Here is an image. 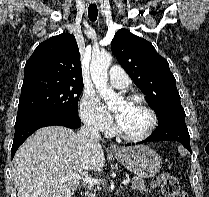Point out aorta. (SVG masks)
I'll list each match as a JSON object with an SVG mask.
<instances>
[{
	"mask_svg": "<svg viewBox=\"0 0 209 197\" xmlns=\"http://www.w3.org/2000/svg\"><path fill=\"white\" fill-rule=\"evenodd\" d=\"M112 56L103 51L94 55L90 64V74L97 92L105 101H112L118 98V95L107 85V70L111 64Z\"/></svg>",
	"mask_w": 209,
	"mask_h": 197,
	"instance_id": "1",
	"label": "aorta"
}]
</instances>
